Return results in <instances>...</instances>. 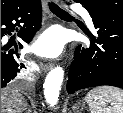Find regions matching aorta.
<instances>
[{
  "mask_svg": "<svg viewBox=\"0 0 123 113\" xmlns=\"http://www.w3.org/2000/svg\"><path fill=\"white\" fill-rule=\"evenodd\" d=\"M64 78V70L57 66L52 69L44 82V97L50 106H54L58 102L61 85Z\"/></svg>",
  "mask_w": 123,
  "mask_h": 113,
  "instance_id": "obj_1",
  "label": "aorta"
}]
</instances>
